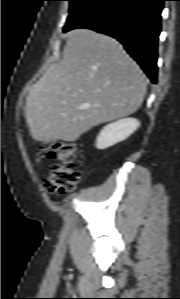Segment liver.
Masks as SVG:
<instances>
[{"instance_id": "obj_1", "label": "liver", "mask_w": 180, "mask_h": 299, "mask_svg": "<svg viewBox=\"0 0 180 299\" xmlns=\"http://www.w3.org/2000/svg\"><path fill=\"white\" fill-rule=\"evenodd\" d=\"M147 85L115 39L88 29L68 33L62 59L28 90L25 118L36 141H76L92 127L141 106Z\"/></svg>"}]
</instances>
